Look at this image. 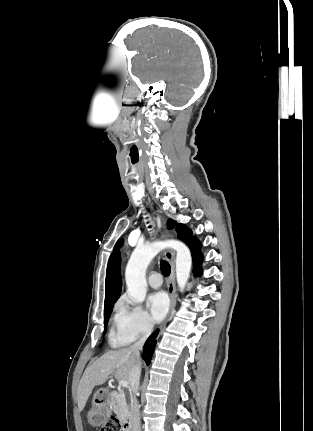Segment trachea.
Returning <instances> with one entry per match:
<instances>
[{"label": "trachea", "mask_w": 313, "mask_h": 431, "mask_svg": "<svg viewBox=\"0 0 313 431\" xmlns=\"http://www.w3.org/2000/svg\"><path fill=\"white\" fill-rule=\"evenodd\" d=\"M160 266H161V272L164 276H168L170 274L171 268L170 265L167 261L162 260L160 262Z\"/></svg>", "instance_id": "obj_1"}]
</instances>
